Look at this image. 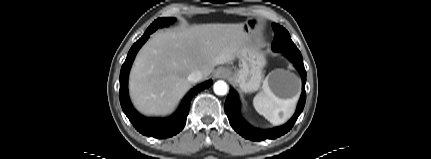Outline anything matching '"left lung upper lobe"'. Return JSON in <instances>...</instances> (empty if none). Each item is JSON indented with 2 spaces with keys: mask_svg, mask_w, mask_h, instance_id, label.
<instances>
[{
  "mask_svg": "<svg viewBox=\"0 0 431 159\" xmlns=\"http://www.w3.org/2000/svg\"><path fill=\"white\" fill-rule=\"evenodd\" d=\"M275 38L272 43L274 51L298 52V48L292 42L288 31L279 24H272Z\"/></svg>",
  "mask_w": 431,
  "mask_h": 159,
  "instance_id": "1",
  "label": "left lung upper lobe"
}]
</instances>
